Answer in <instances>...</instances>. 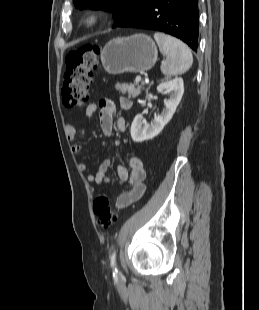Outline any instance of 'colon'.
Segmentation results:
<instances>
[{"label": "colon", "instance_id": "5ec220e1", "mask_svg": "<svg viewBox=\"0 0 259 310\" xmlns=\"http://www.w3.org/2000/svg\"><path fill=\"white\" fill-rule=\"evenodd\" d=\"M99 47L85 44L70 51L66 56L65 80L62 99L65 105L75 107L87 104L93 72L98 66ZM93 211L100 225L107 229L117 220L107 195L98 196L93 202Z\"/></svg>", "mask_w": 259, "mask_h": 310}]
</instances>
